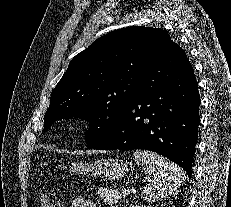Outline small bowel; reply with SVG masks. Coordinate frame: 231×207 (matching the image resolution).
Returning <instances> with one entry per match:
<instances>
[{"instance_id": "small-bowel-1", "label": "small bowel", "mask_w": 231, "mask_h": 207, "mask_svg": "<svg viewBox=\"0 0 231 207\" xmlns=\"http://www.w3.org/2000/svg\"><path fill=\"white\" fill-rule=\"evenodd\" d=\"M70 207H96L95 203L83 197H76L71 202Z\"/></svg>"}]
</instances>
